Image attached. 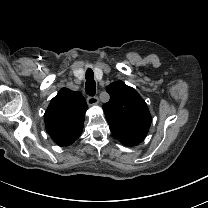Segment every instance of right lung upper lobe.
<instances>
[{
  "instance_id": "right-lung-upper-lobe-1",
  "label": "right lung upper lobe",
  "mask_w": 208,
  "mask_h": 208,
  "mask_svg": "<svg viewBox=\"0 0 208 208\" xmlns=\"http://www.w3.org/2000/svg\"><path fill=\"white\" fill-rule=\"evenodd\" d=\"M87 109L83 95L67 88L51 99L44 114L45 126L59 146L70 145L79 138Z\"/></svg>"
}]
</instances>
